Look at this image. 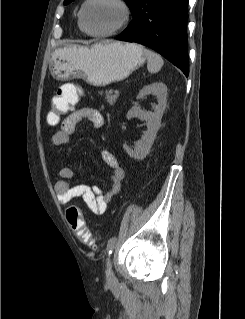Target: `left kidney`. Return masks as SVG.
<instances>
[{"label":"left kidney","mask_w":245,"mask_h":319,"mask_svg":"<svg viewBox=\"0 0 245 319\" xmlns=\"http://www.w3.org/2000/svg\"><path fill=\"white\" fill-rule=\"evenodd\" d=\"M148 94H154L157 96L158 105L154 107L153 112L143 111L138 105H135L126 115L128 120L138 117L144 119L147 123V131L136 143L134 150L126 144L123 145L127 154L131 158L137 160H142L147 156L161 126V119L167 102V86L162 82H155L150 85H146L139 91L137 99H141Z\"/></svg>","instance_id":"obj_1"}]
</instances>
